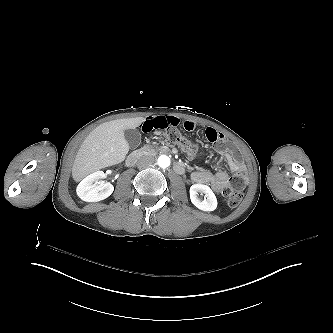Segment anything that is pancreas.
<instances>
[{"instance_id":"cf45deb5","label":"pancreas","mask_w":333,"mask_h":333,"mask_svg":"<svg viewBox=\"0 0 333 333\" xmlns=\"http://www.w3.org/2000/svg\"><path fill=\"white\" fill-rule=\"evenodd\" d=\"M142 151L145 155L156 156L157 154L168 153L170 149L167 146L156 147L152 145H145L142 148Z\"/></svg>"}]
</instances>
